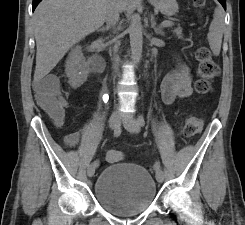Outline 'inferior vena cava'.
Listing matches in <instances>:
<instances>
[{"label": "inferior vena cava", "mask_w": 245, "mask_h": 225, "mask_svg": "<svg viewBox=\"0 0 245 225\" xmlns=\"http://www.w3.org/2000/svg\"><path fill=\"white\" fill-rule=\"evenodd\" d=\"M119 13H120V8H119L117 0H109L107 7H106V12H105V20L109 28L114 27L116 25V23L119 20ZM114 51L117 52V49L115 48ZM118 61H119V58L116 57L115 63L117 64Z\"/></svg>", "instance_id": "obj_1"}]
</instances>
